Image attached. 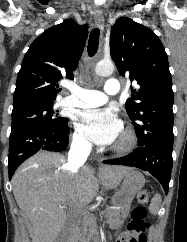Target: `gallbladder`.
<instances>
[{"instance_id": "bac80fb5", "label": "gallbladder", "mask_w": 187, "mask_h": 242, "mask_svg": "<svg viewBox=\"0 0 187 242\" xmlns=\"http://www.w3.org/2000/svg\"><path fill=\"white\" fill-rule=\"evenodd\" d=\"M71 218H72V214L69 213L64 228L61 230V232L55 238L54 242H66L67 241L68 228H69V225H70Z\"/></svg>"}]
</instances>
